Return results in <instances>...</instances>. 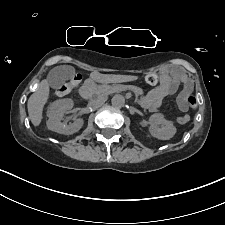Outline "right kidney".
I'll return each instance as SVG.
<instances>
[{"mask_svg": "<svg viewBox=\"0 0 225 225\" xmlns=\"http://www.w3.org/2000/svg\"><path fill=\"white\" fill-rule=\"evenodd\" d=\"M73 105L74 103L72 99H61L53 102L47 111L48 129L59 134L65 135H70L75 132H78L84 124L83 119H76L73 123H70L69 125L61 122L64 114L69 112L73 108Z\"/></svg>", "mask_w": 225, "mask_h": 225, "instance_id": "ca27d5eb", "label": "right kidney"}]
</instances>
